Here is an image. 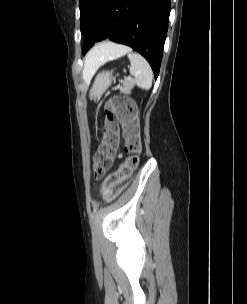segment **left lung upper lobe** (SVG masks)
Returning <instances> with one entry per match:
<instances>
[{"label": "left lung upper lobe", "instance_id": "obj_1", "mask_svg": "<svg viewBox=\"0 0 247 304\" xmlns=\"http://www.w3.org/2000/svg\"><path fill=\"white\" fill-rule=\"evenodd\" d=\"M104 2L105 0H79L81 32L98 18Z\"/></svg>", "mask_w": 247, "mask_h": 304}]
</instances>
